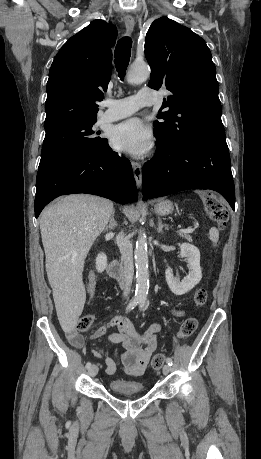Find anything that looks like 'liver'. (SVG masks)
Returning a JSON list of instances; mask_svg holds the SVG:
<instances>
[{
	"instance_id": "1",
	"label": "liver",
	"mask_w": 261,
	"mask_h": 459,
	"mask_svg": "<svg viewBox=\"0 0 261 459\" xmlns=\"http://www.w3.org/2000/svg\"><path fill=\"white\" fill-rule=\"evenodd\" d=\"M113 203L89 194L62 197L40 218L46 272L62 329L72 331L82 313L86 293L82 281L85 259L105 230Z\"/></svg>"
}]
</instances>
